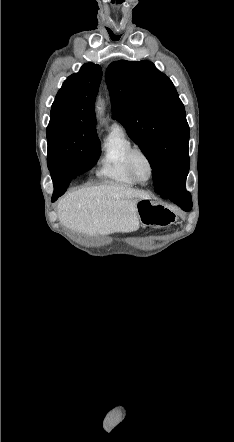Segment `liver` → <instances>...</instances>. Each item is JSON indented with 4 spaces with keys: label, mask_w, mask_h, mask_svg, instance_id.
I'll return each mask as SVG.
<instances>
[{
    "label": "liver",
    "mask_w": 234,
    "mask_h": 442,
    "mask_svg": "<svg viewBox=\"0 0 234 442\" xmlns=\"http://www.w3.org/2000/svg\"><path fill=\"white\" fill-rule=\"evenodd\" d=\"M149 199L141 191L124 185L104 184L68 193L58 203L61 224L87 235L137 231L136 204Z\"/></svg>",
    "instance_id": "obj_1"
}]
</instances>
